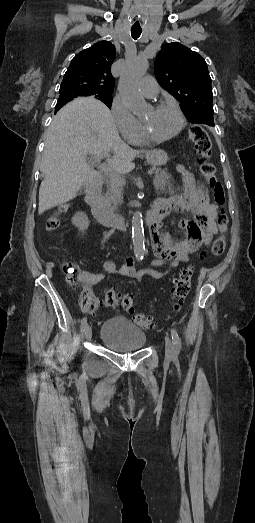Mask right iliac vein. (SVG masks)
Returning a JSON list of instances; mask_svg holds the SVG:
<instances>
[{"label": "right iliac vein", "mask_w": 255, "mask_h": 523, "mask_svg": "<svg viewBox=\"0 0 255 523\" xmlns=\"http://www.w3.org/2000/svg\"><path fill=\"white\" fill-rule=\"evenodd\" d=\"M84 335H85L86 340H88V341L91 340V337H92V329H91V327H90L89 325L86 326V328H85V332H84Z\"/></svg>", "instance_id": "1"}]
</instances>
